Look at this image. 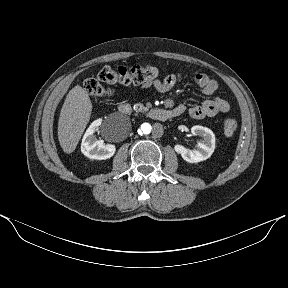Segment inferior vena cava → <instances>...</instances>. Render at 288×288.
Instances as JSON below:
<instances>
[{"mask_svg": "<svg viewBox=\"0 0 288 288\" xmlns=\"http://www.w3.org/2000/svg\"><path fill=\"white\" fill-rule=\"evenodd\" d=\"M152 128L153 130L151 131V136L154 139H160L163 133V126L161 125V123L159 121H154L152 123Z\"/></svg>", "mask_w": 288, "mask_h": 288, "instance_id": "inferior-vena-cava-1", "label": "inferior vena cava"}]
</instances>
